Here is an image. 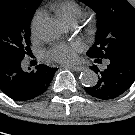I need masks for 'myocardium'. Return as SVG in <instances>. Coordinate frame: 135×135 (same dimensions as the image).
Segmentation results:
<instances>
[{"label":"myocardium","instance_id":"f54148a6","mask_svg":"<svg viewBox=\"0 0 135 135\" xmlns=\"http://www.w3.org/2000/svg\"><path fill=\"white\" fill-rule=\"evenodd\" d=\"M87 18L89 22L92 21V16H88Z\"/></svg>","mask_w":135,"mask_h":135}]
</instances>
